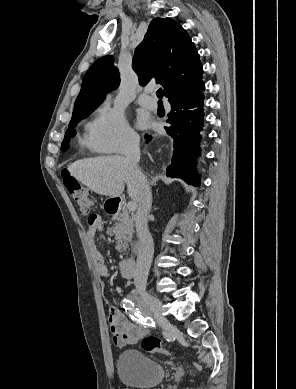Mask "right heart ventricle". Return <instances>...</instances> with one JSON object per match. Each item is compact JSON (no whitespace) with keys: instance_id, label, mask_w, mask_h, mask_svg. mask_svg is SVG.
<instances>
[{"instance_id":"e07e8e85","label":"right heart ventricle","mask_w":296,"mask_h":389,"mask_svg":"<svg viewBox=\"0 0 296 389\" xmlns=\"http://www.w3.org/2000/svg\"><path fill=\"white\" fill-rule=\"evenodd\" d=\"M91 129H92V123H88L85 125V133L82 138V142L86 144L87 146L94 148L93 140H92V134H91Z\"/></svg>"}]
</instances>
